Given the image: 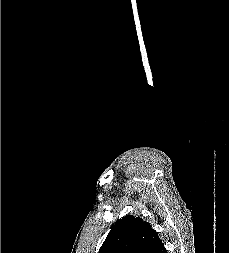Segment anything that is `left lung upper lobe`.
Returning a JSON list of instances; mask_svg holds the SVG:
<instances>
[{
  "label": "left lung upper lobe",
  "mask_w": 229,
  "mask_h": 253,
  "mask_svg": "<svg viewBox=\"0 0 229 253\" xmlns=\"http://www.w3.org/2000/svg\"><path fill=\"white\" fill-rule=\"evenodd\" d=\"M161 244L149 223L127 215L112 227L98 253H155Z\"/></svg>",
  "instance_id": "1"
}]
</instances>
